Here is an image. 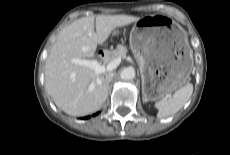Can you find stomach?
<instances>
[{
    "label": "stomach",
    "mask_w": 230,
    "mask_h": 155,
    "mask_svg": "<svg viewBox=\"0 0 230 155\" xmlns=\"http://www.w3.org/2000/svg\"><path fill=\"white\" fill-rule=\"evenodd\" d=\"M145 101H158L184 86L193 68V51L183 28L164 15L139 18L130 33Z\"/></svg>",
    "instance_id": "stomach-1"
}]
</instances>
